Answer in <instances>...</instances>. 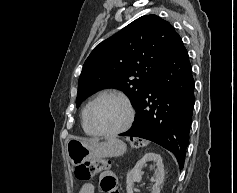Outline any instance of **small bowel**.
Returning a JSON list of instances; mask_svg holds the SVG:
<instances>
[{
	"label": "small bowel",
	"mask_w": 237,
	"mask_h": 193,
	"mask_svg": "<svg viewBox=\"0 0 237 193\" xmlns=\"http://www.w3.org/2000/svg\"><path fill=\"white\" fill-rule=\"evenodd\" d=\"M100 185L104 193H117V179L112 171H103L100 175ZM79 193H94V185L87 183L82 186Z\"/></svg>",
	"instance_id": "small-bowel-1"
}]
</instances>
